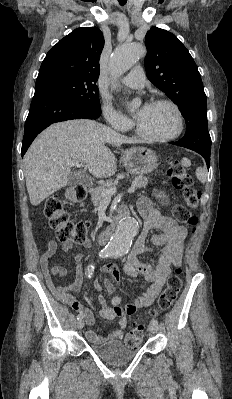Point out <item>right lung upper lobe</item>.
I'll return each mask as SVG.
<instances>
[{"label": "right lung upper lobe", "instance_id": "right-lung-upper-lobe-1", "mask_svg": "<svg viewBox=\"0 0 232 399\" xmlns=\"http://www.w3.org/2000/svg\"><path fill=\"white\" fill-rule=\"evenodd\" d=\"M103 47L104 37L97 27L75 29L47 53L36 82L56 77L96 82Z\"/></svg>", "mask_w": 232, "mask_h": 399}]
</instances>
